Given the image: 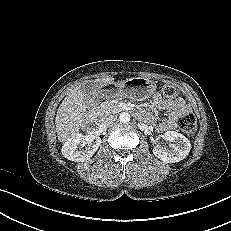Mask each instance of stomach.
I'll return each instance as SVG.
<instances>
[{
    "instance_id": "1",
    "label": "stomach",
    "mask_w": 231,
    "mask_h": 231,
    "mask_svg": "<svg viewBox=\"0 0 231 231\" xmlns=\"http://www.w3.org/2000/svg\"><path fill=\"white\" fill-rule=\"evenodd\" d=\"M156 91L153 80L144 77H133L118 83H112L106 92V97H127L136 101H143L151 97Z\"/></svg>"
}]
</instances>
